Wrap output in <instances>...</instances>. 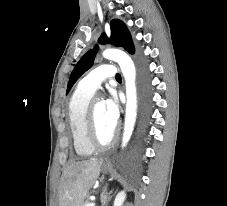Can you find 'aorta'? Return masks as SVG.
<instances>
[{
  "label": "aorta",
  "mask_w": 227,
  "mask_h": 206,
  "mask_svg": "<svg viewBox=\"0 0 227 206\" xmlns=\"http://www.w3.org/2000/svg\"><path fill=\"white\" fill-rule=\"evenodd\" d=\"M103 57L116 61L122 71L126 87V113L122 147H125L130 140L137 117V90H136V69L129 55L118 49H106Z\"/></svg>",
  "instance_id": "obj_1"
}]
</instances>
